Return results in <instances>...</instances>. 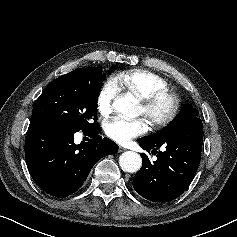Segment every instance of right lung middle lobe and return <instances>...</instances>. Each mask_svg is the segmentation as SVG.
Here are the masks:
<instances>
[{
    "label": "right lung middle lobe",
    "instance_id": "dd1d6c3e",
    "mask_svg": "<svg viewBox=\"0 0 237 237\" xmlns=\"http://www.w3.org/2000/svg\"><path fill=\"white\" fill-rule=\"evenodd\" d=\"M110 67L109 73L115 70ZM106 73L101 67L76 69L53 80L37 99L31 121L75 131L97 127V100Z\"/></svg>",
    "mask_w": 237,
    "mask_h": 237
}]
</instances>
